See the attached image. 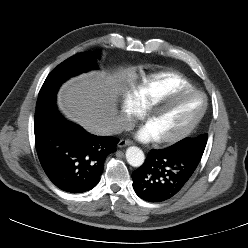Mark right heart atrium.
<instances>
[{
  "instance_id": "obj_1",
  "label": "right heart atrium",
  "mask_w": 248,
  "mask_h": 248,
  "mask_svg": "<svg viewBox=\"0 0 248 248\" xmlns=\"http://www.w3.org/2000/svg\"><path fill=\"white\" fill-rule=\"evenodd\" d=\"M122 112L124 116L123 127L131 128L134 122L142 115L143 108L141 107L134 94H127L122 103Z\"/></svg>"
}]
</instances>
